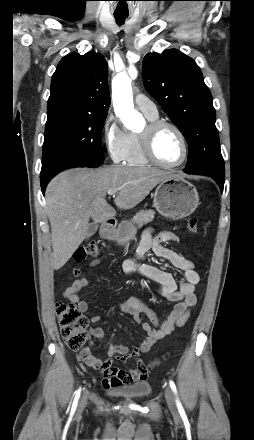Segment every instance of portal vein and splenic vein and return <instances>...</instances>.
Masks as SVG:
<instances>
[{"label": "portal vein and splenic vein", "instance_id": "18ae733b", "mask_svg": "<svg viewBox=\"0 0 254 440\" xmlns=\"http://www.w3.org/2000/svg\"><path fill=\"white\" fill-rule=\"evenodd\" d=\"M116 192H117V190L116 189H110V190H108V195L109 196H112V195H115L116 194Z\"/></svg>", "mask_w": 254, "mask_h": 440}]
</instances>
